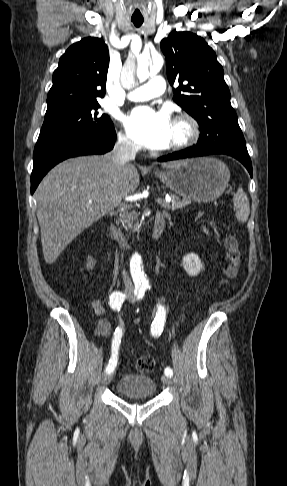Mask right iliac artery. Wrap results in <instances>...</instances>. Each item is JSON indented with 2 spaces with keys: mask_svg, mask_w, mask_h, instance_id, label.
I'll list each match as a JSON object with an SVG mask.
<instances>
[{
  "mask_svg": "<svg viewBox=\"0 0 287 486\" xmlns=\"http://www.w3.org/2000/svg\"><path fill=\"white\" fill-rule=\"evenodd\" d=\"M134 294L136 296H138V299L142 298L145 294V287H136L135 290H134ZM126 298V295L120 291H114L110 297H109V304H110V307L113 309V310H120L124 300ZM122 329L121 328H116L115 332H114V338H113V341H112V354H111V358L109 360V363L105 369V372L110 374L114 371L115 367H116V364H117V360H118V349H119V345H120V341H121V337H122Z\"/></svg>",
  "mask_w": 287,
  "mask_h": 486,
  "instance_id": "1",
  "label": "right iliac artery"
}]
</instances>
